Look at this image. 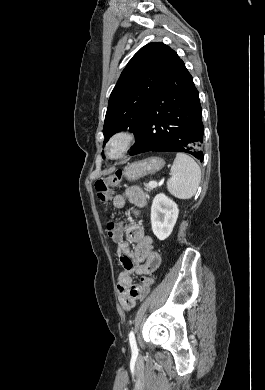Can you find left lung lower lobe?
I'll list each match as a JSON object with an SVG mask.
<instances>
[{"label": "left lung lower lobe", "mask_w": 265, "mask_h": 390, "mask_svg": "<svg viewBox=\"0 0 265 390\" xmlns=\"http://www.w3.org/2000/svg\"><path fill=\"white\" fill-rule=\"evenodd\" d=\"M201 111L199 93L180 59L151 101L142 131L129 155L184 152L202 162Z\"/></svg>", "instance_id": "left-lung-lower-lobe-1"}]
</instances>
